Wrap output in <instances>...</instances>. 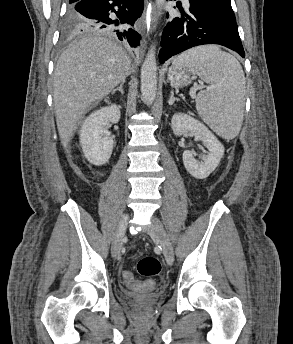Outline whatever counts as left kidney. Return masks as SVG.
I'll use <instances>...</instances> for the list:
<instances>
[{
    "mask_svg": "<svg viewBox=\"0 0 293 344\" xmlns=\"http://www.w3.org/2000/svg\"><path fill=\"white\" fill-rule=\"evenodd\" d=\"M171 127L176 136L193 132L194 136L208 148L209 153L203 157V162L196 160L191 151L183 152L186 170L196 179L207 178L219 165L224 155V146L203 123L188 114H174Z\"/></svg>",
    "mask_w": 293,
    "mask_h": 344,
    "instance_id": "obj_1",
    "label": "left kidney"
}]
</instances>
